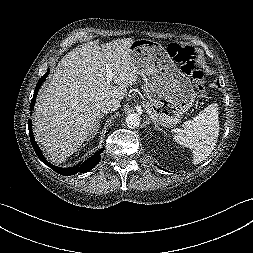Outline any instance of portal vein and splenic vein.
<instances>
[{
	"mask_svg": "<svg viewBox=\"0 0 253 253\" xmlns=\"http://www.w3.org/2000/svg\"><path fill=\"white\" fill-rule=\"evenodd\" d=\"M106 82L107 84H110L112 78H113V72L111 70V66L109 64H106Z\"/></svg>",
	"mask_w": 253,
	"mask_h": 253,
	"instance_id": "1",
	"label": "portal vein and splenic vein"
}]
</instances>
